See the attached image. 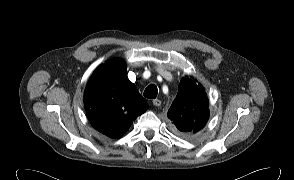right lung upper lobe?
Listing matches in <instances>:
<instances>
[{"mask_svg":"<svg viewBox=\"0 0 294 180\" xmlns=\"http://www.w3.org/2000/svg\"><path fill=\"white\" fill-rule=\"evenodd\" d=\"M84 105L92 126L111 138L122 136L148 108L129 81L121 59L109 60L94 71L84 93Z\"/></svg>","mask_w":294,"mask_h":180,"instance_id":"1","label":"right lung upper lobe"}]
</instances>
